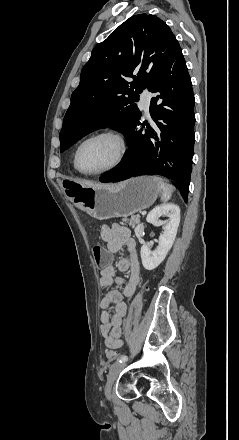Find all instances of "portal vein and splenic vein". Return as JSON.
<instances>
[{
  "label": "portal vein and splenic vein",
  "mask_w": 239,
  "mask_h": 440,
  "mask_svg": "<svg viewBox=\"0 0 239 440\" xmlns=\"http://www.w3.org/2000/svg\"><path fill=\"white\" fill-rule=\"evenodd\" d=\"M141 214L142 215H146L147 214V210H144Z\"/></svg>",
  "instance_id": "1"
}]
</instances>
